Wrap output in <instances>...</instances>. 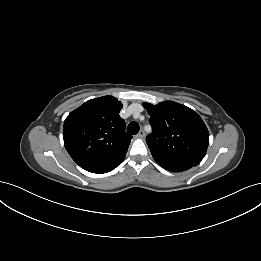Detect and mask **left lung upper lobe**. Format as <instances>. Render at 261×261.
<instances>
[{
	"label": "left lung upper lobe",
	"mask_w": 261,
	"mask_h": 261,
	"mask_svg": "<svg viewBox=\"0 0 261 261\" xmlns=\"http://www.w3.org/2000/svg\"><path fill=\"white\" fill-rule=\"evenodd\" d=\"M150 115L152 134L147 144L152 153L198 165L206 154L209 133L201 117L191 108L173 101L157 105L143 103Z\"/></svg>",
	"instance_id": "obj_1"
}]
</instances>
